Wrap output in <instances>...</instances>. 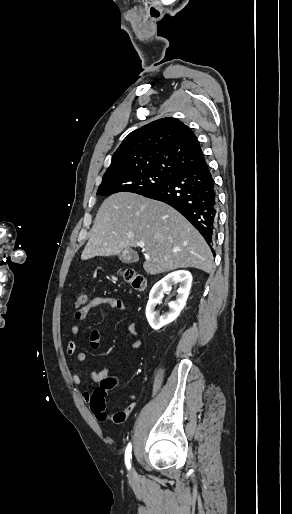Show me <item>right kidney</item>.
Here are the masks:
<instances>
[{
    "mask_svg": "<svg viewBox=\"0 0 292 514\" xmlns=\"http://www.w3.org/2000/svg\"><path fill=\"white\" fill-rule=\"evenodd\" d=\"M176 282L179 284L176 300L175 302H169V312H165L163 316H160L159 310H155V308L157 304H162L164 292H170ZM191 284L192 276L190 272H187V270H178V272H171V274H168V276H165V278H162L160 282H157V284L153 286L149 294L146 318L154 330H160V328H163L166 324H171L173 320L178 318L186 304Z\"/></svg>",
    "mask_w": 292,
    "mask_h": 514,
    "instance_id": "right-kidney-1",
    "label": "right kidney"
}]
</instances>
